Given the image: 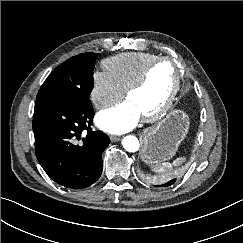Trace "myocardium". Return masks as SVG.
Listing matches in <instances>:
<instances>
[{
    "label": "myocardium",
    "instance_id": "f54148a6",
    "mask_svg": "<svg viewBox=\"0 0 243 243\" xmlns=\"http://www.w3.org/2000/svg\"><path fill=\"white\" fill-rule=\"evenodd\" d=\"M163 61H168L173 64V66L175 68L174 83L172 85V88H171L168 96L163 101V103L155 110H153L147 114H144V118L149 121L156 120V119L160 118L162 115H164L167 112V110L171 107V105L173 104V102L175 100V97L180 89V83H181L180 69H179L177 61L170 56L156 57L155 59H153L146 65V67L143 69L141 74L134 81H132L125 89V96L128 97L133 91L139 89L140 87H142L145 84L152 68L159 62H163Z\"/></svg>",
    "mask_w": 243,
    "mask_h": 243
}]
</instances>
